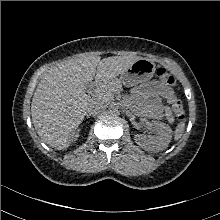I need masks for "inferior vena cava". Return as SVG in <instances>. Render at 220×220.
Masks as SVG:
<instances>
[{"label":"inferior vena cava","instance_id":"602c4592","mask_svg":"<svg viewBox=\"0 0 220 220\" xmlns=\"http://www.w3.org/2000/svg\"><path fill=\"white\" fill-rule=\"evenodd\" d=\"M105 107L103 106L102 103H94L93 105L90 106V108L87 110L88 115L90 116H95L98 113H100Z\"/></svg>","mask_w":220,"mask_h":220}]
</instances>
